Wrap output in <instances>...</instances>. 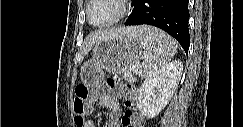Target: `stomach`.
Segmentation results:
<instances>
[{
  "label": "stomach",
  "instance_id": "obj_1",
  "mask_svg": "<svg viewBox=\"0 0 243 127\" xmlns=\"http://www.w3.org/2000/svg\"><path fill=\"white\" fill-rule=\"evenodd\" d=\"M142 46L132 34H120L100 41L92 59L81 67V81L87 86L98 85L105 73L118 74L135 66L142 57Z\"/></svg>",
  "mask_w": 243,
  "mask_h": 127
}]
</instances>
